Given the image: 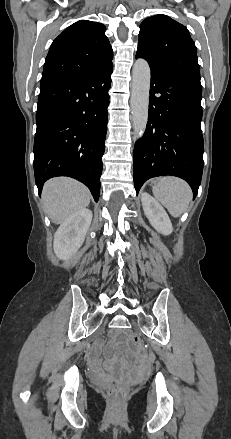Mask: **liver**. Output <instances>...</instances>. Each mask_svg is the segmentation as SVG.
Instances as JSON below:
<instances>
[{
    "label": "liver",
    "mask_w": 231,
    "mask_h": 439,
    "mask_svg": "<svg viewBox=\"0 0 231 439\" xmlns=\"http://www.w3.org/2000/svg\"><path fill=\"white\" fill-rule=\"evenodd\" d=\"M91 194L83 184L58 177L47 181L42 191V203L46 214L55 224L84 209L90 203Z\"/></svg>",
    "instance_id": "6515ba94"
}]
</instances>
